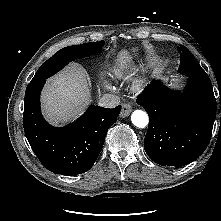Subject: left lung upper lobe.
I'll use <instances>...</instances> for the list:
<instances>
[{
  "label": "left lung upper lobe",
  "mask_w": 221,
  "mask_h": 221,
  "mask_svg": "<svg viewBox=\"0 0 221 221\" xmlns=\"http://www.w3.org/2000/svg\"><path fill=\"white\" fill-rule=\"evenodd\" d=\"M180 53L179 73L195 76H207L206 72L201 68L192 53L184 46L178 47Z\"/></svg>",
  "instance_id": "left-lung-upper-lobe-1"
}]
</instances>
